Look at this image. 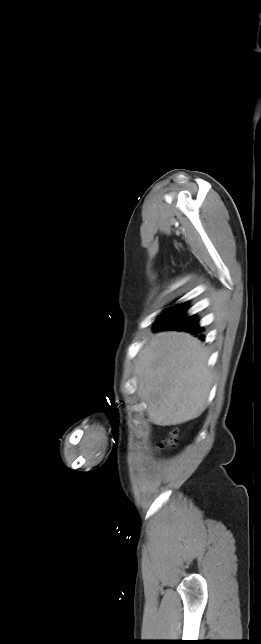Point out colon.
<instances>
[{
  "label": "colon",
  "instance_id": "1",
  "mask_svg": "<svg viewBox=\"0 0 261 644\" xmlns=\"http://www.w3.org/2000/svg\"><path fill=\"white\" fill-rule=\"evenodd\" d=\"M175 443H176V437H175V435H174V434H172L169 438L165 439V440L160 444V447H161V448H165V447H172V446H174V445H175Z\"/></svg>",
  "mask_w": 261,
  "mask_h": 644
}]
</instances>
